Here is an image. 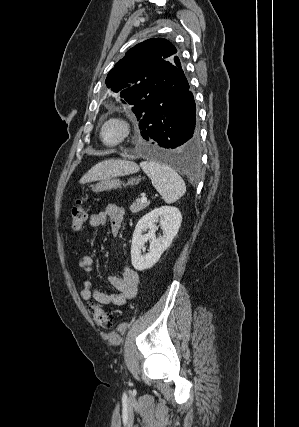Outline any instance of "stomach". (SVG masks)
<instances>
[{
  "instance_id": "0dacf381",
  "label": "stomach",
  "mask_w": 299,
  "mask_h": 427,
  "mask_svg": "<svg viewBox=\"0 0 299 427\" xmlns=\"http://www.w3.org/2000/svg\"><path fill=\"white\" fill-rule=\"evenodd\" d=\"M139 178H130L128 180V185H134L139 182ZM125 184L118 178V176H113L100 180L98 183L92 186V190L96 193L103 191H110L122 188Z\"/></svg>"
}]
</instances>
